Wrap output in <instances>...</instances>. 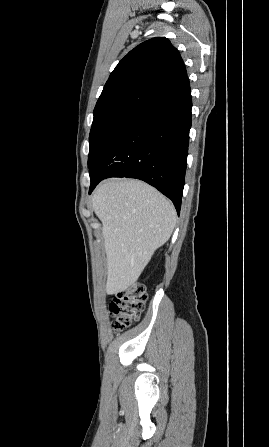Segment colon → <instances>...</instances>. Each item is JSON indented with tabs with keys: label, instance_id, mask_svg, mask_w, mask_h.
Masks as SVG:
<instances>
[{
	"label": "colon",
	"instance_id": "5ec220e1",
	"mask_svg": "<svg viewBox=\"0 0 269 447\" xmlns=\"http://www.w3.org/2000/svg\"><path fill=\"white\" fill-rule=\"evenodd\" d=\"M146 291L143 285L135 284L116 292L109 305V313L114 317L115 330H123L134 325L144 310Z\"/></svg>",
	"mask_w": 269,
	"mask_h": 447
}]
</instances>
